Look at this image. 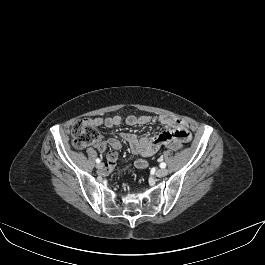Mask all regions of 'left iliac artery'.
Listing matches in <instances>:
<instances>
[{
  "label": "left iliac artery",
  "instance_id": "44dca946",
  "mask_svg": "<svg viewBox=\"0 0 265 265\" xmlns=\"http://www.w3.org/2000/svg\"><path fill=\"white\" fill-rule=\"evenodd\" d=\"M163 159H162V157H160L159 159H158V161H162ZM160 167L161 168H165L166 167V163H164V162H162L161 164H160Z\"/></svg>",
  "mask_w": 265,
  "mask_h": 265
}]
</instances>
